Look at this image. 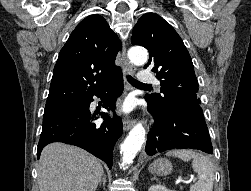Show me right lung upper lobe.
<instances>
[{
    "instance_id": "right-lung-upper-lobe-1",
    "label": "right lung upper lobe",
    "mask_w": 251,
    "mask_h": 191,
    "mask_svg": "<svg viewBox=\"0 0 251 191\" xmlns=\"http://www.w3.org/2000/svg\"><path fill=\"white\" fill-rule=\"evenodd\" d=\"M121 42L97 14L82 20L61 49L45 109L79 103L122 76L114 64Z\"/></svg>"
}]
</instances>
